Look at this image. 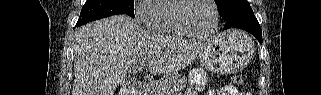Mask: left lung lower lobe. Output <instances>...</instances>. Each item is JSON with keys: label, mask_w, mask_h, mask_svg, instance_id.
Segmentation results:
<instances>
[{"label": "left lung lower lobe", "mask_w": 321, "mask_h": 95, "mask_svg": "<svg viewBox=\"0 0 321 95\" xmlns=\"http://www.w3.org/2000/svg\"><path fill=\"white\" fill-rule=\"evenodd\" d=\"M225 29L240 28L253 34L256 39L262 43L261 27L252 11V9L244 10L232 15L229 19L225 20Z\"/></svg>", "instance_id": "obj_1"}]
</instances>
